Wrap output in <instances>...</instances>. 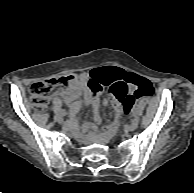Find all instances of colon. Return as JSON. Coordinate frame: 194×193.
<instances>
[{"label":"colon","mask_w":194,"mask_h":193,"mask_svg":"<svg viewBox=\"0 0 194 193\" xmlns=\"http://www.w3.org/2000/svg\"><path fill=\"white\" fill-rule=\"evenodd\" d=\"M78 76L68 75L59 78H52L46 81L34 82L30 88V101L34 107L38 110H44L48 104L50 93L57 87H74L75 93L78 92L77 87ZM130 85H136L140 89H144L148 86V83L144 80L137 78L133 74H126L121 78L115 79L109 83H97L91 82L90 89L93 93L101 91L102 86L109 87V96L116 103H121L123 107L128 110L131 107V101L135 94L129 90Z\"/></svg>","instance_id":"5ec220e1"}]
</instances>
